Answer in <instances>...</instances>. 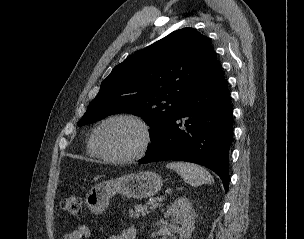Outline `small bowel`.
Segmentation results:
<instances>
[{
	"label": "small bowel",
	"instance_id": "c3829d8e",
	"mask_svg": "<svg viewBox=\"0 0 304 239\" xmlns=\"http://www.w3.org/2000/svg\"><path fill=\"white\" fill-rule=\"evenodd\" d=\"M91 235L90 229L85 225H80L77 228L70 230L62 235V239H85ZM136 230L133 227L123 229L118 234L109 236L107 239H135Z\"/></svg>",
	"mask_w": 304,
	"mask_h": 239
}]
</instances>
